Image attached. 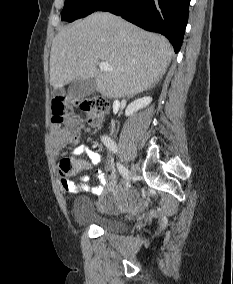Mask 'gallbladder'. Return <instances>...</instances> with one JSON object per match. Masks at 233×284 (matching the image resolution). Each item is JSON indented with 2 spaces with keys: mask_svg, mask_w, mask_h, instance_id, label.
<instances>
[{
  "mask_svg": "<svg viewBox=\"0 0 233 284\" xmlns=\"http://www.w3.org/2000/svg\"><path fill=\"white\" fill-rule=\"evenodd\" d=\"M96 83L92 78L73 80L67 90V96L70 99L83 98L96 92ZM56 95H63V92L57 91Z\"/></svg>",
  "mask_w": 233,
  "mask_h": 284,
  "instance_id": "1",
  "label": "gallbladder"
}]
</instances>
